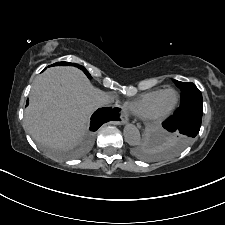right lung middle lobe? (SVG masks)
<instances>
[{"mask_svg":"<svg viewBox=\"0 0 225 225\" xmlns=\"http://www.w3.org/2000/svg\"><path fill=\"white\" fill-rule=\"evenodd\" d=\"M58 65H61V66H75V67H78L79 69H81L86 75L88 78H91V75L88 73V71L83 67V66H80L78 64H75V63H69V62H57L51 66H58Z\"/></svg>","mask_w":225,"mask_h":225,"instance_id":"right-lung-middle-lobe-1","label":"right lung middle lobe"}]
</instances>
